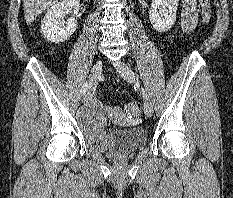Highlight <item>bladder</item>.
I'll list each match as a JSON object with an SVG mask.
<instances>
[{
	"instance_id": "31cf9c89",
	"label": "bladder",
	"mask_w": 233,
	"mask_h": 198,
	"mask_svg": "<svg viewBox=\"0 0 233 198\" xmlns=\"http://www.w3.org/2000/svg\"><path fill=\"white\" fill-rule=\"evenodd\" d=\"M80 124L85 136L111 156L125 157L143 147L147 131L140 126L127 129H108L107 110L98 102L88 106L81 115Z\"/></svg>"
}]
</instances>
